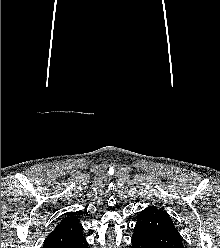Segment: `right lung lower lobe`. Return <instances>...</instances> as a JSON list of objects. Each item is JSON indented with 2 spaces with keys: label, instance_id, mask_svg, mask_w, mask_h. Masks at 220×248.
I'll list each match as a JSON object with an SVG mask.
<instances>
[{
  "label": "right lung lower lobe",
  "instance_id": "right-lung-lower-lobe-1",
  "mask_svg": "<svg viewBox=\"0 0 220 248\" xmlns=\"http://www.w3.org/2000/svg\"><path fill=\"white\" fill-rule=\"evenodd\" d=\"M87 241L84 239L78 240L68 246H63L62 248H87Z\"/></svg>",
  "mask_w": 220,
  "mask_h": 248
}]
</instances>
